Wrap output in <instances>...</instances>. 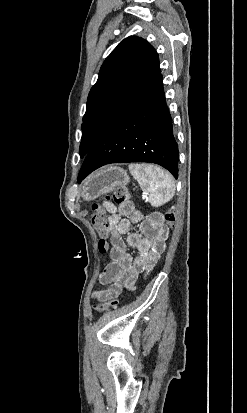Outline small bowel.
Returning a JSON list of instances; mask_svg holds the SVG:
<instances>
[{"label": "small bowel", "instance_id": "c3829d8e", "mask_svg": "<svg viewBox=\"0 0 247 413\" xmlns=\"http://www.w3.org/2000/svg\"><path fill=\"white\" fill-rule=\"evenodd\" d=\"M102 208L109 213V231L112 248L111 262L100 275V282L108 287L94 290L92 297L98 301L109 298L120 299L124 286L134 288L139 275H148L157 265L161 254L166 249L168 229L164 222H153L145 219L132 202L115 205L104 202ZM150 222L153 232H148ZM136 225L140 232H129ZM127 233L126 241L122 235ZM127 246L137 249L138 254L132 257L127 253Z\"/></svg>", "mask_w": 247, "mask_h": 413}]
</instances>
